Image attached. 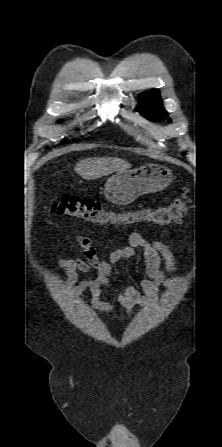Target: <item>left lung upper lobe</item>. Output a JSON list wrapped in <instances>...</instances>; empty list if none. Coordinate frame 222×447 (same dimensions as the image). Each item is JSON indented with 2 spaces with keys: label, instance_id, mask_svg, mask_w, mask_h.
<instances>
[{
  "label": "left lung upper lobe",
  "instance_id": "1",
  "mask_svg": "<svg viewBox=\"0 0 222 447\" xmlns=\"http://www.w3.org/2000/svg\"><path fill=\"white\" fill-rule=\"evenodd\" d=\"M138 100L140 104L136 107V111L140 112L147 119L156 122L168 117L167 112L162 107L158 90L152 89L141 93Z\"/></svg>",
  "mask_w": 222,
  "mask_h": 447
}]
</instances>
